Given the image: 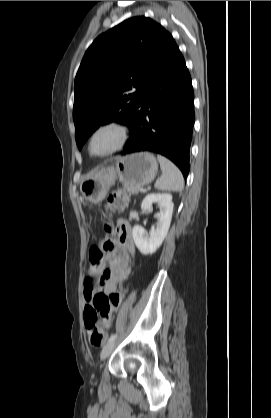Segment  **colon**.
Wrapping results in <instances>:
<instances>
[{"mask_svg":"<svg viewBox=\"0 0 271 418\" xmlns=\"http://www.w3.org/2000/svg\"><path fill=\"white\" fill-rule=\"evenodd\" d=\"M127 203V195L123 190L113 192L107 201V207L111 211H121ZM106 232L111 231L108 223L104 224ZM114 249V245L110 241H104L100 246L93 247L90 251V259L94 266H99L103 261L105 252ZM109 271L106 270L102 277L108 276ZM109 306V299L102 293H98L94 298V306L85 311L84 322L87 329L88 340L92 346L99 347L105 339V328L100 321V316Z\"/></svg>","mask_w":271,"mask_h":418,"instance_id":"obj_1","label":"colon"}]
</instances>
